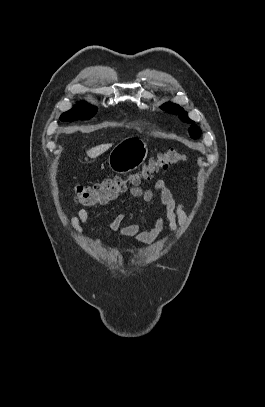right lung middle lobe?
<instances>
[{
	"instance_id": "right-lung-middle-lobe-1",
	"label": "right lung middle lobe",
	"mask_w": 265,
	"mask_h": 407,
	"mask_svg": "<svg viewBox=\"0 0 265 407\" xmlns=\"http://www.w3.org/2000/svg\"><path fill=\"white\" fill-rule=\"evenodd\" d=\"M97 112V108L89 106L86 103H78L76 107L63 113L60 117L61 121L87 120L92 118Z\"/></svg>"
}]
</instances>
